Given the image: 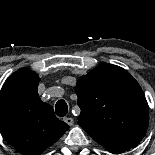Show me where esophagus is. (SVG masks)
<instances>
[{"label": "esophagus", "instance_id": "esophagus-1", "mask_svg": "<svg viewBox=\"0 0 155 155\" xmlns=\"http://www.w3.org/2000/svg\"><path fill=\"white\" fill-rule=\"evenodd\" d=\"M64 121H65L68 125H70V126H72V125L74 124V120H73V118H71V117H66V118H64Z\"/></svg>", "mask_w": 155, "mask_h": 155}]
</instances>
